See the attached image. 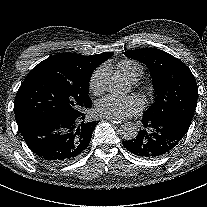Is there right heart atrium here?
I'll list each match as a JSON object with an SVG mask.
<instances>
[{"label":"right heart atrium","mask_w":207,"mask_h":207,"mask_svg":"<svg viewBox=\"0 0 207 207\" xmlns=\"http://www.w3.org/2000/svg\"><path fill=\"white\" fill-rule=\"evenodd\" d=\"M108 69L109 65L104 63L93 71L90 77L89 86L94 94L99 95L104 91V80Z\"/></svg>","instance_id":"obj_1"}]
</instances>
